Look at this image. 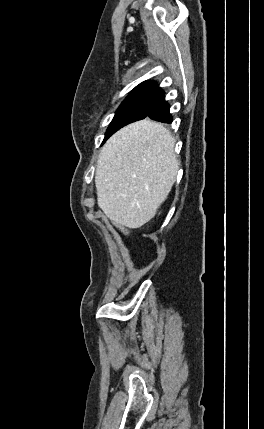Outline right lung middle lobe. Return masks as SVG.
Listing matches in <instances>:
<instances>
[{"label":"right lung middle lobe","mask_w":264,"mask_h":429,"mask_svg":"<svg viewBox=\"0 0 264 429\" xmlns=\"http://www.w3.org/2000/svg\"><path fill=\"white\" fill-rule=\"evenodd\" d=\"M159 88L134 89L119 106L110 123L104 141L121 127L144 119L159 97L162 95Z\"/></svg>","instance_id":"dd1d6c3e"}]
</instances>
